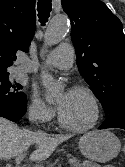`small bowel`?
<instances>
[{
	"label": "small bowel",
	"instance_id": "1",
	"mask_svg": "<svg viewBox=\"0 0 125 167\" xmlns=\"http://www.w3.org/2000/svg\"><path fill=\"white\" fill-rule=\"evenodd\" d=\"M105 167H114V166H112V165H108V166H105Z\"/></svg>",
	"mask_w": 125,
	"mask_h": 167
}]
</instances>
